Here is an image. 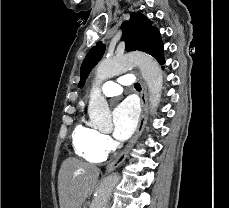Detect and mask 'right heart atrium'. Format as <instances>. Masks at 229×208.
<instances>
[{"label":"right heart atrium","instance_id":"1","mask_svg":"<svg viewBox=\"0 0 229 208\" xmlns=\"http://www.w3.org/2000/svg\"><path fill=\"white\" fill-rule=\"evenodd\" d=\"M96 146L100 152L107 154L113 150L114 141L109 135L99 132L96 140Z\"/></svg>","mask_w":229,"mask_h":208}]
</instances>
